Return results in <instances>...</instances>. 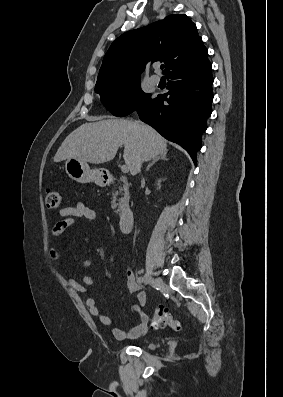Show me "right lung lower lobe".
<instances>
[{
  "label": "right lung lower lobe",
  "instance_id": "1",
  "mask_svg": "<svg viewBox=\"0 0 283 397\" xmlns=\"http://www.w3.org/2000/svg\"><path fill=\"white\" fill-rule=\"evenodd\" d=\"M169 92L149 99L135 111L166 139L182 146L196 164L201 136L211 115L213 90L208 57L166 75Z\"/></svg>",
  "mask_w": 283,
  "mask_h": 397
}]
</instances>
